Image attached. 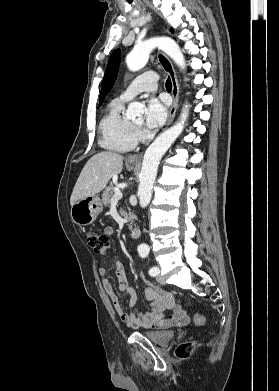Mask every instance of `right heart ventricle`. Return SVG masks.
<instances>
[{"label":"right heart ventricle","mask_w":279,"mask_h":391,"mask_svg":"<svg viewBox=\"0 0 279 391\" xmlns=\"http://www.w3.org/2000/svg\"><path fill=\"white\" fill-rule=\"evenodd\" d=\"M125 102L120 97L111 100L100 121V144L104 149L127 152L137 144L134 126L123 114Z\"/></svg>","instance_id":"obj_1"}]
</instances>
